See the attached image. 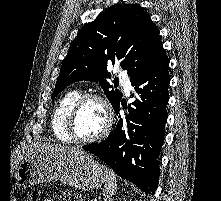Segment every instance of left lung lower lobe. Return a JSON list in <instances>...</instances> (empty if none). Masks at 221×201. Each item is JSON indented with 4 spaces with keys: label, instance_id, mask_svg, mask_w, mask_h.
Returning <instances> with one entry per match:
<instances>
[{
    "label": "left lung lower lobe",
    "instance_id": "left-lung-lower-lobe-1",
    "mask_svg": "<svg viewBox=\"0 0 221 201\" xmlns=\"http://www.w3.org/2000/svg\"><path fill=\"white\" fill-rule=\"evenodd\" d=\"M169 59L165 54L138 78L131 80L136 100L126 107V120H120L113 133L101 143L82 148L98 156L120 177L129 180L143 192L153 195L159 181L158 157L163 145L166 104L169 100Z\"/></svg>",
    "mask_w": 221,
    "mask_h": 201
}]
</instances>
